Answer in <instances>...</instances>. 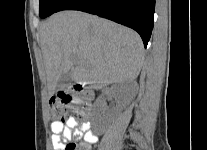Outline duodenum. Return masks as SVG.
I'll use <instances>...</instances> for the list:
<instances>
[{
	"label": "duodenum",
	"instance_id": "obj_1",
	"mask_svg": "<svg viewBox=\"0 0 207 150\" xmlns=\"http://www.w3.org/2000/svg\"><path fill=\"white\" fill-rule=\"evenodd\" d=\"M73 88H74L75 91H83L84 90L83 86L81 84H79V83L74 84ZM85 95H86L87 99H90L92 93L90 91H86Z\"/></svg>",
	"mask_w": 207,
	"mask_h": 150
}]
</instances>
